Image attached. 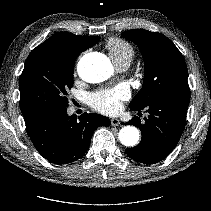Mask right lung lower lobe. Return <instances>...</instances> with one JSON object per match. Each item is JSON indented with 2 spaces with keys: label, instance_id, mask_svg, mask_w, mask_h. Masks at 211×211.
<instances>
[{
  "label": "right lung lower lobe",
  "instance_id": "obj_1",
  "mask_svg": "<svg viewBox=\"0 0 211 211\" xmlns=\"http://www.w3.org/2000/svg\"><path fill=\"white\" fill-rule=\"evenodd\" d=\"M25 124L32 143L45 159L67 164L85 154L94 130L101 125L109 126L110 120L93 113L77 118L68 116L67 108H56L25 120Z\"/></svg>",
  "mask_w": 211,
  "mask_h": 211
}]
</instances>
